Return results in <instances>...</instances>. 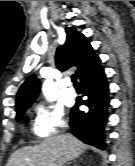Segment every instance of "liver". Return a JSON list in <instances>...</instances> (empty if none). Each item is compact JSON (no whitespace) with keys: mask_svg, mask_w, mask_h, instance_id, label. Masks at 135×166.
Masks as SVG:
<instances>
[{"mask_svg":"<svg viewBox=\"0 0 135 166\" xmlns=\"http://www.w3.org/2000/svg\"><path fill=\"white\" fill-rule=\"evenodd\" d=\"M86 145L71 134H61L45 139L36 146L15 151L6 166H62L81 155Z\"/></svg>","mask_w":135,"mask_h":166,"instance_id":"liver-1","label":"liver"}]
</instances>
